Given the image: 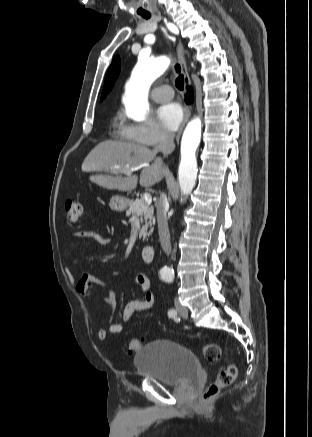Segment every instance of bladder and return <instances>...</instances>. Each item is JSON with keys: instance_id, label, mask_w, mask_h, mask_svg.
<instances>
[{"instance_id": "1", "label": "bladder", "mask_w": 312, "mask_h": 437, "mask_svg": "<svg viewBox=\"0 0 312 437\" xmlns=\"http://www.w3.org/2000/svg\"><path fill=\"white\" fill-rule=\"evenodd\" d=\"M138 375L163 384L179 385L201 371L196 355L180 343L158 339L140 348L134 357Z\"/></svg>"}]
</instances>
